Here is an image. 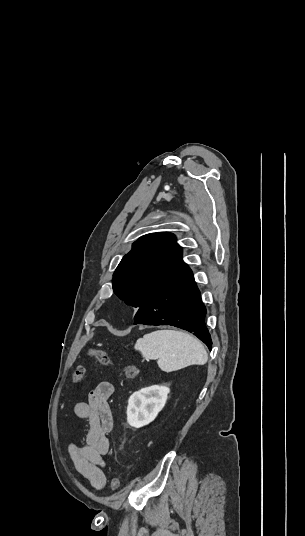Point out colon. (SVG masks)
I'll list each match as a JSON object with an SVG mask.
<instances>
[{
	"instance_id": "colon-1",
	"label": "colon",
	"mask_w": 305,
	"mask_h": 536,
	"mask_svg": "<svg viewBox=\"0 0 305 536\" xmlns=\"http://www.w3.org/2000/svg\"><path fill=\"white\" fill-rule=\"evenodd\" d=\"M91 355L93 357L97 358L98 361L104 366L112 365L111 358L103 350H101L100 348H94L91 351ZM121 372L125 377H127L129 379H135L140 374V370L138 369V367H136L133 364H125V365H123L121 367ZM84 375H85L84 367L79 366L75 370V372L73 374V382L74 383L81 382L83 380V378H84ZM119 485H120L119 479L117 477H112V479H111V488L113 490H116L119 487Z\"/></svg>"
}]
</instances>
